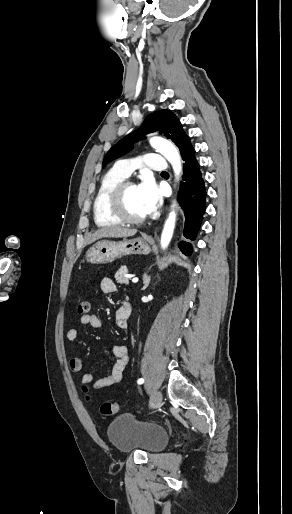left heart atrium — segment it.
<instances>
[{
	"mask_svg": "<svg viewBox=\"0 0 292 514\" xmlns=\"http://www.w3.org/2000/svg\"><path fill=\"white\" fill-rule=\"evenodd\" d=\"M136 189L146 213L153 212L161 202V193L153 176L143 175Z\"/></svg>",
	"mask_w": 292,
	"mask_h": 514,
	"instance_id": "39dd6f15",
	"label": "left heart atrium"
}]
</instances>
